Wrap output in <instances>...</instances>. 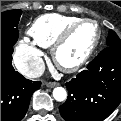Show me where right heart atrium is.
Here are the masks:
<instances>
[{
    "label": "right heart atrium",
    "mask_w": 121,
    "mask_h": 121,
    "mask_svg": "<svg viewBox=\"0 0 121 121\" xmlns=\"http://www.w3.org/2000/svg\"><path fill=\"white\" fill-rule=\"evenodd\" d=\"M42 51L28 38H21L14 52V63L17 69L25 76L38 74L43 68Z\"/></svg>",
    "instance_id": "obj_1"
}]
</instances>
